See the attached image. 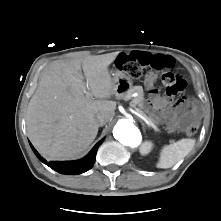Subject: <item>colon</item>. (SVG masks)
I'll list each match as a JSON object with an SVG mask.
<instances>
[{
	"mask_svg": "<svg viewBox=\"0 0 221 221\" xmlns=\"http://www.w3.org/2000/svg\"><path fill=\"white\" fill-rule=\"evenodd\" d=\"M116 63L120 71L134 79H148L153 77L155 71L162 72L161 79L169 96L182 94L188 87L187 80L181 74L167 71L174 64V60L170 56L138 53L137 58L132 59L129 55L122 53L117 57ZM197 116L198 114L190 119L192 122L185 128L188 136L194 135L198 130Z\"/></svg>",
	"mask_w": 221,
	"mask_h": 221,
	"instance_id": "obj_1",
	"label": "colon"
}]
</instances>
